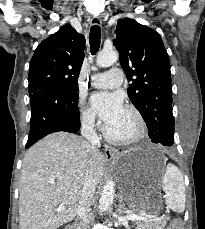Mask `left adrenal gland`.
Wrapping results in <instances>:
<instances>
[{
    "label": "left adrenal gland",
    "mask_w": 205,
    "mask_h": 229,
    "mask_svg": "<svg viewBox=\"0 0 205 229\" xmlns=\"http://www.w3.org/2000/svg\"><path fill=\"white\" fill-rule=\"evenodd\" d=\"M124 207H125V204H124V202H123V196L120 195V197H119L118 209H117V211L119 212V214L124 213Z\"/></svg>",
    "instance_id": "1"
}]
</instances>
